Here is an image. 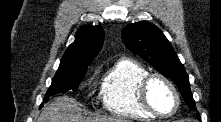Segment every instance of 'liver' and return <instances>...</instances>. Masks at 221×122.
<instances>
[{
	"instance_id": "1",
	"label": "liver",
	"mask_w": 221,
	"mask_h": 122,
	"mask_svg": "<svg viewBox=\"0 0 221 122\" xmlns=\"http://www.w3.org/2000/svg\"><path fill=\"white\" fill-rule=\"evenodd\" d=\"M37 122H130L120 117H95L82 116V108L77 100L70 97H58L41 112Z\"/></svg>"
}]
</instances>
